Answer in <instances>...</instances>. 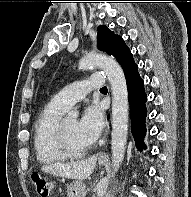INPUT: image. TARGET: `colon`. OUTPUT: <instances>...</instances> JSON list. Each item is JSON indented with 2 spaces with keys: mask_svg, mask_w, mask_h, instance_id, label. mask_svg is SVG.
I'll return each mask as SVG.
<instances>
[{
  "mask_svg": "<svg viewBox=\"0 0 191 197\" xmlns=\"http://www.w3.org/2000/svg\"><path fill=\"white\" fill-rule=\"evenodd\" d=\"M32 182L35 187L36 193L40 197H49L51 191V184L41 175H32Z\"/></svg>",
  "mask_w": 191,
  "mask_h": 197,
  "instance_id": "colon-1",
  "label": "colon"
}]
</instances>
